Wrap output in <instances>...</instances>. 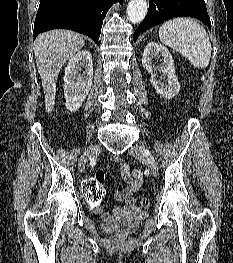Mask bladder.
<instances>
[{"label": "bladder", "mask_w": 233, "mask_h": 263, "mask_svg": "<svg viewBox=\"0 0 233 263\" xmlns=\"http://www.w3.org/2000/svg\"><path fill=\"white\" fill-rule=\"evenodd\" d=\"M146 216V212L125 209L105 218L102 222V228L107 233L128 236L135 231Z\"/></svg>", "instance_id": "1"}]
</instances>
